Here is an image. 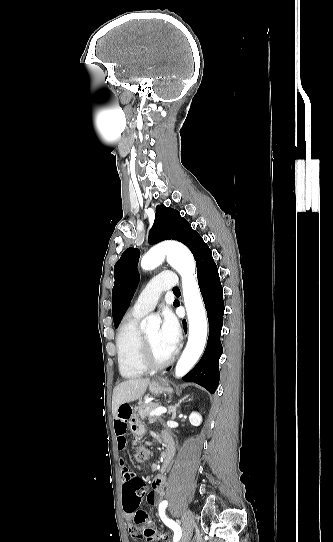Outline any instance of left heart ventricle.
I'll use <instances>...</instances> for the list:
<instances>
[{"label":"left heart ventricle","instance_id":"obj_1","mask_svg":"<svg viewBox=\"0 0 333 542\" xmlns=\"http://www.w3.org/2000/svg\"><path fill=\"white\" fill-rule=\"evenodd\" d=\"M151 347L153 357L158 361L169 358L173 351L161 336L159 328L145 333Z\"/></svg>","mask_w":333,"mask_h":542}]
</instances>
